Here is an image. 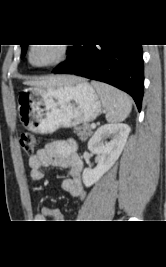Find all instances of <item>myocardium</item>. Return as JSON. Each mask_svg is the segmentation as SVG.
<instances>
[{"mask_svg": "<svg viewBox=\"0 0 166 267\" xmlns=\"http://www.w3.org/2000/svg\"><path fill=\"white\" fill-rule=\"evenodd\" d=\"M38 45H40V44H32V45H30L28 47L27 53H26L27 63L34 69H46V68H51V67L57 66L60 63H62L63 61H65V59L67 58V56L69 54V48L65 44H51V45H54L56 47V49H57L56 58L53 59L52 61L47 62V63L35 64L32 61L31 55H32L33 50Z\"/></svg>", "mask_w": 166, "mask_h": 267, "instance_id": "obj_1", "label": "myocardium"}]
</instances>
